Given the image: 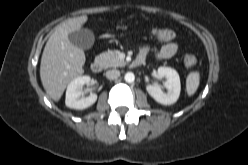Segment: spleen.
<instances>
[{"label":"spleen","mask_w":248,"mask_h":165,"mask_svg":"<svg viewBox=\"0 0 248 165\" xmlns=\"http://www.w3.org/2000/svg\"><path fill=\"white\" fill-rule=\"evenodd\" d=\"M200 82L199 72H190L186 79V91L188 96H192L198 89Z\"/></svg>","instance_id":"1"}]
</instances>
